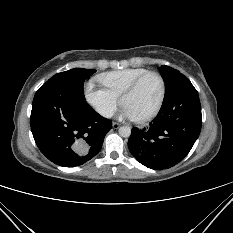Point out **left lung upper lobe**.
I'll return each instance as SVG.
<instances>
[{
	"instance_id": "left-lung-upper-lobe-1",
	"label": "left lung upper lobe",
	"mask_w": 233,
	"mask_h": 233,
	"mask_svg": "<svg viewBox=\"0 0 233 233\" xmlns=\"http://www.w3.org/2000/svg\"><path fill=\"white\" fill-rule=\"evenodd\" d=\"M160 71L163 80L165 82V96L169 93V91L172 89L174 84L176 83L177 79L183 75L178 70L173 69L169 66L163 65L158 68Z\"/></svg>"
}]
</instances>
